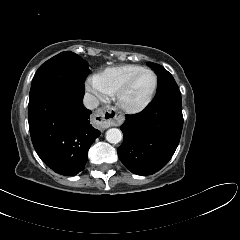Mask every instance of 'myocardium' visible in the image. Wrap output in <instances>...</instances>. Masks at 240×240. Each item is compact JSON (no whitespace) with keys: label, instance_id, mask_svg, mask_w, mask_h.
I'll return each mask as SVG.
<instances>
[{"label":"myocardium","instance_id":"f54148a6","mask_svg":"<svg viewBox=\"0 0 240 240\" xmlns=\"http://www.w3.org/2000/svg\"><path fill=\"white\" fill-rule=\"evenodd\" d=\"M145 72H150L153 76H154V79H155V83H154V87H153V90L150 94V96L147 98V100L145 102H143L142 104L140 105H137V106H130V105H127L124 100H123V97L124 95L126 94V92L131 88L132 84L134 83V81L143 73ZM158 85H159V78H158V75L157 73L153 70V69H150V68H143L142 70L138 71L137 73H135L134 75H132L119 89L118 91L115 93V96H116V100H117V103L120 105V107L125 110L126 112L128 113H131V114H137V113H141L143 112L144 110H146L150 104L152 103L154 97H155V94L157 92V89H158Z\"/></svg>","mask_w":240,"mask_h":240}]
</instances>
